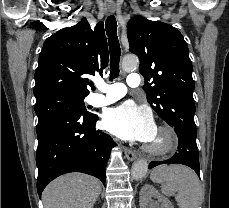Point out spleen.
<instances>
[{
	"label": "spleen",
	"mask_w": 229,
	"mask_h": 208,
	"mask_svg": "<svg viewBox=\"0 0 229 208\" xmlns=\"http://www.w3.org/2000/svg\"><path fill=\"white\" fill-rule=\"evenodd\" d=\"M152 182L161 184L162 194L175 196L179 208H199L203 202L198 176L186 166H157L151 176Z\"/></svg>",
	"instance_id": "1"
}]
</instances>
